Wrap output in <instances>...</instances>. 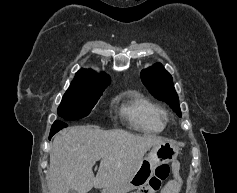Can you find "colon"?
I'll list each match as a JSON object with an SVG mask.
<instances>
[{"mask_svg": "<svg viewBox=\"0 0 237 193\" xmlns=\"http://www.w3.org/2000/svg\"><path fill=\"white\" fill-rule=\"evenodd\" d=\"M169 173V165L162 164L157 166L148 183L134 193H158L163 182L167 180Z\"/></svg>", "mask_w": 237, "mask_h": 193, "instance_id": "colon-1", "label": "colon"}]
</instances>
